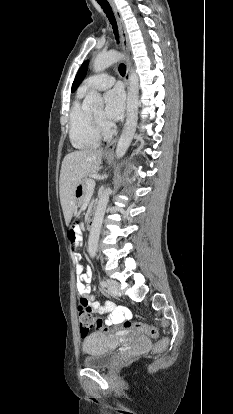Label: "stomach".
Listing matches in <instances>:
<instances>
[{"label": "stomach", "instance_id": "0dacf381", "mask_svg": "<svg viewBox=\"0 0 233 414\" xmlns=\"http://www.w3.org/2000/svg\"><path fill=\"white\" fill-rule=\"evenodd\" d=\"M107 159L109 158V156H105ZM75 197L76 198H80V199H82V198H84V183L82 182V183H80L77 187H76V190H75Z\"/></svg>", "mask_w": 233, "mask_h": 414}]
</instances>
